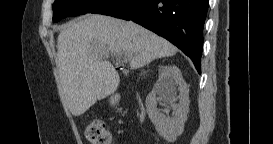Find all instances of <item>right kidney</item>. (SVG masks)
Wrapping results in <instances>:
<instances>
[{
    "instance_id": "1",
    "label": "right kidney",
    "mask_w": 273,
    "mask_h": 144,
    "mask_svg": "<svg viewBox=\"0 0 273 144\" xmlns=\"http://www.w3.org/2000/svg\"><path fill=\"white\" fill-rule=\"evenodd\" d=\"M177 86L180 91V103L178 105L171 104L173 117L166 116L157 109L158 98L156 96L172 98ZM188 93L189 88L183 80L180 70L176 66H166L160 71L155 88L146 99L150 120L159 135L169 142L175 141L184 130L189 109Z\"/></svg>"
}]
</instances>
